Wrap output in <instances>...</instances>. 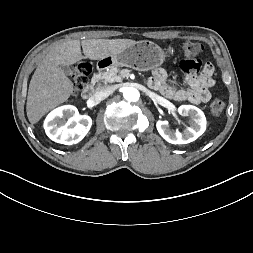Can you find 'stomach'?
<instances>
[{
	"label": "stomach",
	"mask_w": 253,
	"mask_h": 253,
	"mask_svg": "<svg viewBox=\"0 0 253 253\" xmlns=\"http://www.w3.org/2000/svg\"><path fill=\"white\" fill-rule=\"evenodd\" d=\"M169 51H164L157 44L142 40L137 41L127 49L109 55L99 62H102V69H109L112 66L130 67L138 71H148L160 66Z\"/></svg>",
	"instance_id": "0dacf381"
}]
</instances>
